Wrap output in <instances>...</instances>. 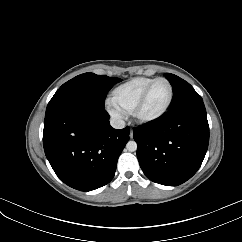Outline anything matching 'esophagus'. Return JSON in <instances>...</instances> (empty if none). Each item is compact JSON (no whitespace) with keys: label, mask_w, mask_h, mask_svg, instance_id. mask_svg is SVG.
I'll list each match as a JSON object with an SVG mask.
<instances>
[{"label":"esophagus","mask_w":242,"mask_h":242,"mask_svg":"<svg viewBox=\"0 0 242 242\" xmlns=\"http://www.w3.org/2000/svg\"><path fill=\"white\" fill-rule=\"evenodd\" d=\"M130 138H133V130H130Z\"/></svg>","instance_id":"obj_1"}]
</instances>
